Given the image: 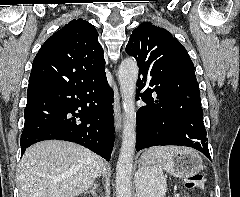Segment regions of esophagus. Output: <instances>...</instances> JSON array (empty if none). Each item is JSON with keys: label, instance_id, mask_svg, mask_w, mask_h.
<instances>
[{"label": "esophagus", "instance_id": "1", "mask_svg": "<svg viewBox=\"0 0 240 197\" xmlns=\"http://www.w3.org/2000/svg\"><path fill=\"white\" fill-rule=\"evenodd\" d=\"M114 118L115 128L118 132H120L122 129L123 117L121 113L120 96L116 84H114Z\"/></svg>", "mask_w": 240, "mask_h": 197}]
</instances>
